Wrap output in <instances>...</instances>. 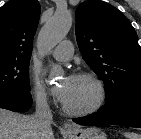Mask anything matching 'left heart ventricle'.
<instances>
[{"label": "left heart ventricle", "mask_w": 141, "mask_h": 139, "mask_svg": "<svg viewBox=\"0 0 141 139\" xmlns=\"http://www.w3.org/2000/svg\"><path fill=\"white\" fill-rule=\"evenodd\" d=\"M97 98V89L88 79H71V86L65 104L71 108L80 109L92 105Z\"/></svg>", "instance_id": "left-heart-ventricle-1"}]
</instances>
